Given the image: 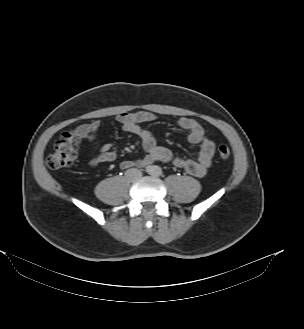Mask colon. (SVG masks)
<instances>
[{
    "label": "colon",
    "mask_w": 304,
    "mask_h": 329,
    "mask_svg": "<svg viewBox=\"0 0 304 329\" xmlns=\"http://www.w3.org/2000/svg\"><path fill=\"white\" fill-rule=\"evenodd\" d=\"M78 143L79 138L74 132H65L47 158L48 167L58 170L71 166L77 158ZM218 154L221 159L226 160L231 156V150L227 145H221L218 148Z\"/></svg>",
    "instance_id": "colon-1"
}]
</instances>
